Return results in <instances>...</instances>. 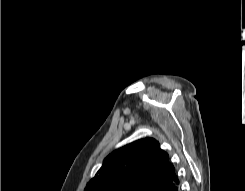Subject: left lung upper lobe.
<instances>
[{
	"instance_id": "left-lung-upper-lobe-1",
	"label": "left lung upper lobe",
	"mask_w": 245,
	"mask_h": 191,
	"mask_svg": "<svg viewBox=\"0 0 245 191\" xmlns=\"http://www.w3.org/2000/svg\"><path fill=\"white\" fill-rule=\"evenodd\" d=\"M175 172L154 138H143L109 154L84 191H158Z\"/></svg>"
}]
</instances>
